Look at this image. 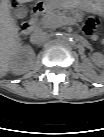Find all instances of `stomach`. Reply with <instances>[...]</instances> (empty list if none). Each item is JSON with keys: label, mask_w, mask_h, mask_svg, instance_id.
Segmentation results:
<instances>
[{"label": "stomach", "mask_w": 104, "mask_h": 137, "mask_svg": "<svg viewBox=\"0 0 104 137\" xmlns=\"http://www.w3.org/2000/svg\"><path fill=\"white\" fill-rule=\"evenodd\" d=\"M101 4L98 0H45L44 6L47 9H73L97 12ZM102 5V4H101Z\"/></svg>", "instance_id": "stomach-1"}]
</instances>
